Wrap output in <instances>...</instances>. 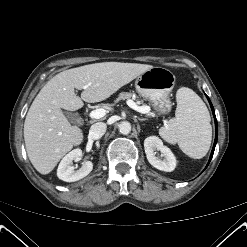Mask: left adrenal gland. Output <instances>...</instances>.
I'll list each match as a JSON object with an SVG mask.
<instances>
[{
    "mask_svg": "<svg viewBox=\"0 0 247 247\" xmlns=\"http://www.w3.org/2000/svg\"><path fill=\"white\" fill-rule=\"evenodd\" d=\"M139 121H146L147 119L146 118H138Z\"/></svg>",
    "mask_w": 247,
    "mask_h": 247,
    "instance_id": "1",
    "label": "left adrenal gland"
}]
</instances>
